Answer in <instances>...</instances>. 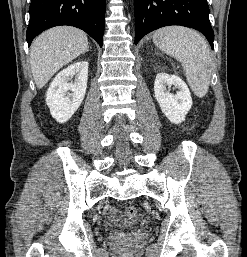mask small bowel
Returning a JSON list of instances; mask_svg holds the SVG:
<instances>
[{
  "mask_svg": "<svg viewBox=\"0 0 247 257\" xmlns=\"http://www.w3.org/2000/svg\"><path fill=\"white\" fill-rule=\"evenodd\" d=\"M112 219L116 222H120V218L117 216V213L116 211H113L112 212V215H111Z\"/></svg>",
  "mask_w": 247,
  "mask_h": 257,
  "instance_id": "1",
  "label": "small bowel"
}]
</instances>
